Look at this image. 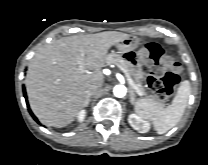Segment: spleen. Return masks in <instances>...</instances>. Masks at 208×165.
<instances>
[{
  "label": "spleen",
  "mask_w": 208,
  "mask_h": 165,
  "mask_svg": "<svg viewBox=\"0 0 208 165\" xmlns=\"http://www.w3.org/2000/svg\"><path fill=\"white\" fill-rule=\"evenodd\" d=\"M191 93L190 82L184 80L177 90L172 103L168 107L147 99H138L134 103L135 112L145 120L153 123L158 134H164L173 128L182 118Z\"/></svg>",
  "instance_id": "3e777b00"
}]
</instances>
